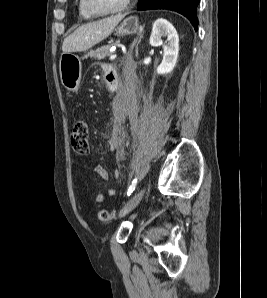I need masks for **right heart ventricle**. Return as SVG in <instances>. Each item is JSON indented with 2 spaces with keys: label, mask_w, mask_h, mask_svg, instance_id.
Returning <instances> with one entry per match:
<instances>
[{
  "label": "right heart ventricle",
  "mask_w": 267,
  "mask_h": 298,
  "mask_svg": "<svg viewBox=\"0 0 267 298\" xmlns=\"http://www.w3.org/2000/svg\"><path fill=\"white\" fill-rule=\"evenodd\" d=\"M78 14L81 18L85 20H91L94 18V16L90 15L85 11V9L83 8L82 0H78Z\"/></svg>",
  "instance_id": "e07e8e85"
}]
</instances>
